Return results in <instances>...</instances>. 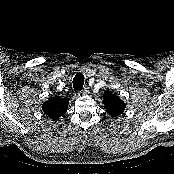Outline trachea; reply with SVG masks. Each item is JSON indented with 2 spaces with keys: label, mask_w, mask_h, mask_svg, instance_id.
Returning a JSON list of instances; mask_svg holds the SVG:
<instances>
[{
  "label": "trachea",
  "mask_w": 174,
  "mask_h": 174,
  "mask_svg": "<svg viewBox=\"0 0 174 174\" xmlns=\"http://www.w3.org/2000/svg\"><path fill=\"white\" fill-rule=\"evenodd\" d=\"M84 84V75L83 73H77L73 78V88L74 90L81 91Z\"/></svg>",
  "instance_id": "obj_1"
}]
</instances>
